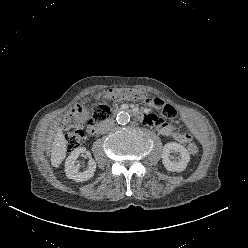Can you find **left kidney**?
Returning <instances> with one entry per match:
<instances>
[{
    "mask_svg": "<svg viewBox=\"0 0 248 248\" xmlns=\"http://www.w3.org/2000/svg\"><path fill=\"white\" fill-rule=\"evenodd\" d=\"M171 153H178L180 158H178V160H173L174 158L171 155ZM189 161H190V154L184 146L176 142H169L165 144V146L163 147L162 162L164 167L168 171H172V172L184 171Z\"/></svg>",
    "mask_w": 248,
    "mask_h": 248,
    "instance_id": "1",
    "label": "left kidney"
}]
</instances>
